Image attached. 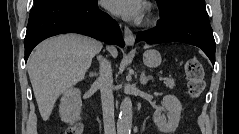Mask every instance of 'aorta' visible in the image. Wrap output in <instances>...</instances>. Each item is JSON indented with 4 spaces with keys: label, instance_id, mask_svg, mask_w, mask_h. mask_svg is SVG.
Returning <instances> with one entry per match:
<instances>
[{
    "label": "aorta",
    "instance_id": "1",
    "mask_svg": "<svg viewBox=\"0 0 239 134\" xmlns=\"http://www.w3.org/2000/svg\"><path fill=\"white\" fill-rule=\"evenodd\" d=\"M132 101L130 97H125L120 105V113L117 121L118 134H130L132 128Z\"/></svg>",
    "mask_w": 239,
    "mask_h": 134
}]
</instances>
